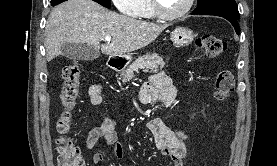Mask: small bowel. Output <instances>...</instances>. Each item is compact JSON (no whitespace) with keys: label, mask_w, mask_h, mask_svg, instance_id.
Wrapping results in <instances>:
<instances>
[{"label":"small bowel","mask_w":277,"mask_h":166,"mask_svg":"<svg viewBox=\"0 0 277 166\" xmlns=\"http://www.w3.org/2000/svg\"><path fill=\"white\" fill-rule=\"evenodd\" d=\"M89 96L94 105H100L102 103V86L100 84L92 85L89 88ZM140 98L145 103L161 101L170 106L175 101L176 89L171 79L164 72H158L152 75L150 82L141 88ZM148 126L155 145L161 153L172 161L173 166H184L183 160L187 153V135L179 129L171 130L158 118L151 120ZM101 139L112 146L115 157L122 158L123 149L117 141L115 123L104 114L101 115L99 125L89 131L86 138V147L93 150ZM103 159L104 153L102 152H96L93 155L95 163H99Z\"/></svg>","instance_id":"1"}]
</instances>
